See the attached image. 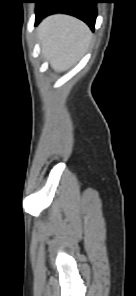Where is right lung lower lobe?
<instances>
[{
	"label": "right lung lower lobe",
	"instance_id": "1",
	"mask_svg": "<svg viewBox=\"0 0 136 296\" xmlns=\"http://www.w3.org/2000/svg\"><path fill=\"white\" fill-rule=\"evenodd\" d=\"M99 0H39L36 5L37 25L44 17L53 13H66L83 20L94 30Z\"/></svg>",
	"mask_w": 136,
	"mask_h": 296
}]
</instances>
